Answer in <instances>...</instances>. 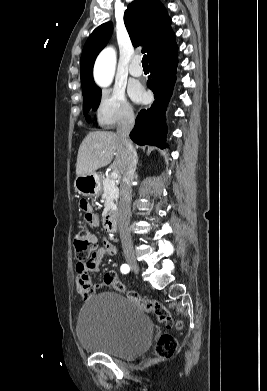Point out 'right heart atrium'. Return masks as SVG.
Masks as SVG:
<instances>
[{"label": "right heart atrium", "mask_w": 267, "mask_h": 391, "mask_svg": "<svg viewBox=\"0 0 267 391\" xmlns=\"http://www.w3.org/2000/svg\"><path fill=\"white\" fill-rule=\"evenodd\" d=\"M97 123L104 128L128 124L135 114L123 91L119 89L104 90L95 109Z\"/></svg>", "instance_id": "obj_1"}]
</instances>
